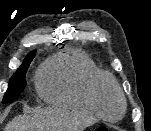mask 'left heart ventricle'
<instances>
[{"mask_svg": "<svg viewBox=\"0 0 151 131\" xmlns=\"http://www.w3.org/2000/svg\"><path fill=\"white\" fill-rule=\"evenodd\" d=\"M100 105L103 111L110 117H116L121 110V102L115 91L106 87L100 96Z\"/></svg>", "mask_w": 151, "mask_h": 131, "instance_id": "left-heart-ventricle-1", "label": "left heart ventricle"}]
</instances>
